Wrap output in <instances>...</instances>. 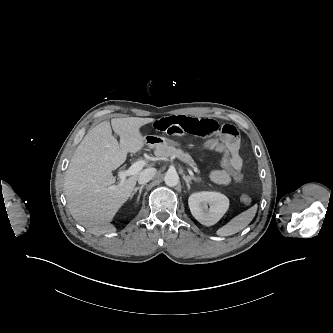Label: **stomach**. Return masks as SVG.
<instances>
[{
	"mask_svg": "<svg viewBox=\"0 0 333 333\" xmlns=\"http://www.w3.org/2000/svg\"><path fill=\"white\" fill-rule=\"evenodd\" d=\"M145 141L148 145L152 147H160L163 145H173L174 143L171 139L160 136H148L145 138Z\"/></svg>",
	"mask_w": 333,
	"mask_h": 333,
	"instance_id": "0dacf381",
	"label": "stomach"
}]
</instances>
